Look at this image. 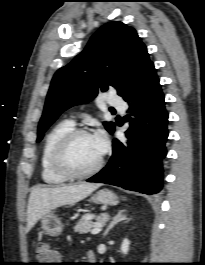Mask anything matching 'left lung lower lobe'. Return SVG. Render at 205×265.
Listing matches in <instances>:
<instances>
[{"label": "left lung lower lobe", "instance_id": "left-lung-lower-lobe-1", "mask_svg": "<svg viewBox=\"0 0 205 265\" xmlns=\"http://www.w3.org/2000/svg\"><path fill=\"white\" fill-rule=\"evenodd\" d=\"M129 103L131 127L127 146L113 140V155L107 166L88 182L106 183L152 195L163 183L162 160L166 156L168 114L154 65L135 89L124 98Z\"/></svg>", "mask_w": 205, "mask_h": 265}]
</instances>
